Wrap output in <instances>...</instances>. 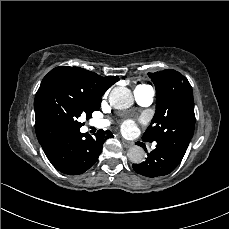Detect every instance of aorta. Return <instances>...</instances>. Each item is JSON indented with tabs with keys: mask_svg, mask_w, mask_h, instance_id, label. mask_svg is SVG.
Instances as JSON below:
<instances>
[{
	"mask_svg": "<svg viewBox=\"0 0 229 229\" xmlns=\"http://www.w3.org/2000/svg\"><path fill=\"white\" fill-rule=\"evenodd\" d=\"M110 105L115 109H127L134 103L133 94L130 89L118 86L109 95ZM127 156L132 163L139 164L144 161L145 151L140 146H133L128 150Z\"/></svg>",
	"mask_w": 229,
	"mask_h": 229,
	"instance_id": "obj_1",
	"label": "aorta"
}]
</instances>
